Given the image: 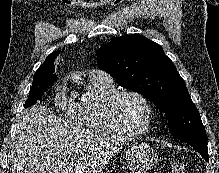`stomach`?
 Masks as SVG:
<instances>
[{"label": "stomach", "mask_w": 219, "mask_h": 173, "mask_svg": "<svg viewBox=\"0 0 219 173\" xmlns=\"http://www.w3.org/2000/svg\"><path fill=\"white\" fill-rule=\"evenodd\" d=\"M123 158L131 173H147L158 162L155 150L146 143L133 142L124 150Z\"/></svg>", "instance_id": "obj_1"}]
</instances>
